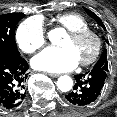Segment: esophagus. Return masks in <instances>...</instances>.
Returning <instances> with one entry per match:
<instances>
[{"label":"esophagus","instance_id":"1","mask_svg":"<svg viewBox=\"0 0 117 117\" xmlns=\"http://www.w3.org/2000/svg\"><path fill=\"white\" fill-rule=\"evenodd\" d=\"M48 75L53 77V78H57L60 76V74H57V73H49Z\"/></svg>","mask_w":117,"mask_h":117}]
</instances>
